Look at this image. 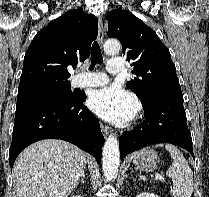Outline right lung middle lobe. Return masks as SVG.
I'll list each match as a JSON object with an SVG mask.
<instances>
[{"instance_id": "right-lung-middle-lobe-1", "label": "right lung middle lobe", "mask_w": 209, "mask_h": 197, "mask_svg": "<svg viewBox=\"0 0 209 197\" xmlns=\"http://www.w3.org/2000/svg\"><path fill=\"white\" fill-rule=\"evenodd\" d=\"M78 93L71 91L70 82H40L19 87L17 107L43 100H64Z\"/></svg>"}]
</instances>
